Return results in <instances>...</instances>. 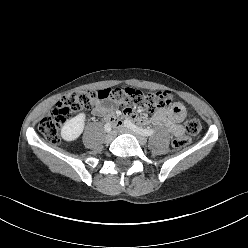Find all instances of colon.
I'll list each match as a JSON object with an SVG mask.
<instances>
[{
	"label": "colon",
	"instance_id": "1",
	"mask_svg": "<svg viewBox=\"0 0 248 248\" xmlns=\"http://www.w3.org/2000/svg\"><path fill=\"white\" fill-rule=\"evenodd\" d=\"M110 99L125 106L127 109H138L153 112L174 102L175 97L167 91L145 92L133 88H112L97 92L89 90H75L65 95L56 106L39 122V130L52 144L60 141V129L64 123L77 111L90 108L96 100ZM202 125L199 120L191 118L185 123L186 135L173 139L172 145L179 149L199 136Z\"/></svg>",
	"mask_w": 248,
	"mask_h": 248
}]
</instances>
